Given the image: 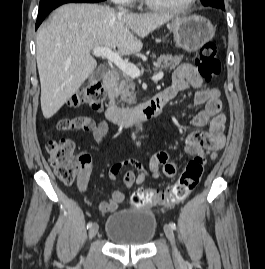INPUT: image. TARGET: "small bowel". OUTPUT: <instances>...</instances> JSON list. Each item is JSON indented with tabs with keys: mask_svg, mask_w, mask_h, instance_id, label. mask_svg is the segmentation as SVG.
<instances>
[{
	"mask_svg": "<svg viewBox=\"0 0 265 269\" xmlns=\"http://www.w3.org/2000/svg\"><path fill=\"white\" fill-rule=\"evenodd\" d=\"M191 89L195 91L194 105L197 107L205 105V109L193 117L192 124L198 128L209 125L210 132L196 131L187 135L183 153L185 155L203 154L205 149H210L212 150V157H214L216 152L224 146L226 140L223 131L224 115L221 113L222 103L219 89L215 87L206 88L198 69L190 64H182L177 67L173 74L172 85L161 93L164 101L163 106L175 99L180 92ZM88 122L90 126L84 131L92 132L96 142L92 148L98 150L102 144L108 142V123L102 121L95 125L90 119H88ZM81 157L82 167L77 179V187L80 192H85L92 165L88 154H82ZM127 165L134 168V170L127 171L124 174L123 181L127 189L142 184L149 172L154 175L162 174L170 178L175 176L178 170V165L171 159L170 153L161 150L152 155L148 166L134 158L123 159L114 163L109 169V179L115 181L121 170ZM124 199V191L114 190L107 201L99 204V212L107 214L117 211Z\"/></svg>",
	"mask_w": 265,
	"mask_h": 269,
	"instance_id": "small-bowel-1",
	"label": "small bowel"
}]
</instances>
